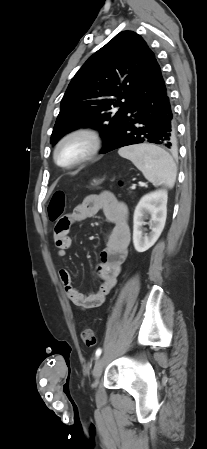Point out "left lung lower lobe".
<instances>
[{
    "label": "left lung lower lobe",
    "mask_w": 207,
    "mask_h": 449,
    "mask_svg": "<svg viewBox=\"0 0 207 449\" xmlns=\"http://www.w3.org/2000/svg\"><path fill=\"white\" fill-rule=\"evenodd\" d=\"M140 143L159 144L171 150L177 145L174 110L158 62L153 66L118 132L101 153Z\"/></svg>",
    "instance_id": "obj_1"
}]
</instances>
